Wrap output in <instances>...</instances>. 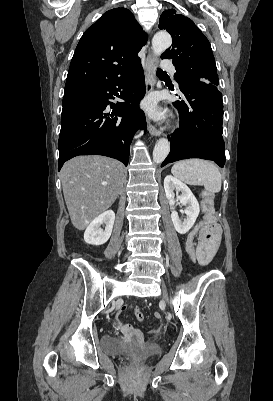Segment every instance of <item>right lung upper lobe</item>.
<instances>
[{"label":"right lung upper lobe","instance_id":"obj_1","mask_svg":"<svg viewBox=\"0 0 273 401\" xmlns=\"http://www.w3.org/2000/svg\"><path fill=\"white\" fill-rule=\"evenodd\" d=\"M147 41L126 8L104 13L82 35L69 67L64 98L96 89L140 62L137 53Z\"/></svg>","mask_w":273,"mask_h":401}]
</instances>
